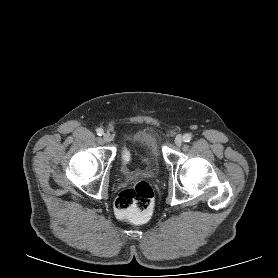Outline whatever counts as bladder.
Returning <instances> with one entry per match:
<instances>
[{"instance_id": "31cf9c89", "label": "bladder", "mask_w": 278, "mask_h": 278, "mask_svg": "<svg viewBox=\"0 0 278 278\" xmlns=\"http://www.w3.org/2000/svg\"><path fill=\"white\" fill-rule=\"evenodd\" d=\"M133 141L145 151L149 159L147 171L149 173L157 172L159 151L156 137L150 132H140L134 136Z\"/></svg>"}]
</instances>
